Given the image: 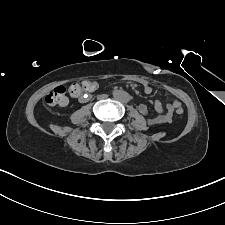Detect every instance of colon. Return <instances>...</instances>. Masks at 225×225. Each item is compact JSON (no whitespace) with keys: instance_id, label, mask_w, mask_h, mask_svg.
Returning <instances> with one entry per match:
<instances>
[{"instance_id":"1","label":"colon","mask_w":225,"mask_h":225,"mask_svg":"<svg viewBox=\"0 0 225 225\" xmlns=\"http://www.w3.org/2000/svg\"><path fill=\"white\" fill-rule=\"evenodd\" d=\"M93 81L85 80L82 82L73 83L69 87V93L73 97H77L84 92H89L93 89ZM48 105H65L68 102L66 96V88L64 86H57L45 98ZM176 114H183L184 110L181 106L175 109Z\"/></svg>"}]
</instances>
